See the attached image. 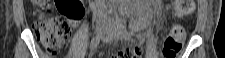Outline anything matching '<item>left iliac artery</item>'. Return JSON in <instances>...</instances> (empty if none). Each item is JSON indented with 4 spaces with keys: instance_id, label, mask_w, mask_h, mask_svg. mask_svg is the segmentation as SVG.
Wrapping results in <instances>:
<instances>
[{
    "instance_id": "1",
    "label": "left iliac artery",
    "mask_w": 225,
    "mask_h": 58,
    "mask_svg": "<svg viewBox=\"0 0 225 58\" xmlns=\"http://www.w3.org/2000/svg\"><path fill=\"white\" fill-rule=\"evenodd\" d=\"M118 28L125 37H127V36L129 37V33H128L126 27L122 24V22L118 23Z\"/></svg>"
}]
</instances>
